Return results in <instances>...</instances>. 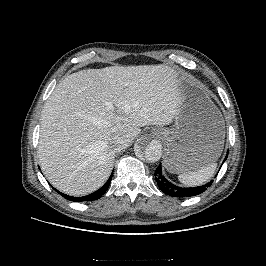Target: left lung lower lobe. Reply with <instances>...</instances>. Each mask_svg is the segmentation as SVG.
<instances>
[{
  "label": "left lung lower lobe",
  "mask_w": 266,
  "mask_h": 266,
  "mask_svg": "<svg viewBox=\"0 0 266 266\" xmlns=\"http://www.w3.org/2000/svg\"><path fill=\"white\" fill-rule=\"evenodd\" d=\"M228 155V154H227ZM227 155L224 159V161L227 159ZM223 161V162H224ZM155 179L157 181V184L159 188L166 194L173 196V197H191L198 195L206 190L207 187L211 186L213 180H211L209 183L193 187V188H181L178 187L172 183H170L162 174L161 170V164L156 168V171L154 173Z\"/></svg>",
  "instance_id": "0a47b994"
}]
</instances>
